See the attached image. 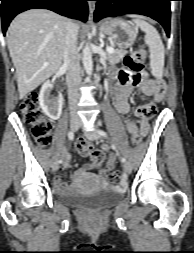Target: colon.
<instances>
[{
  "mask_svg": "<svg viewBox=\"0 0 194 253\" xmlns=\"http://www.w3.org/2000/svg\"><path fill=\"white\" fill-rule=\"evenodd\" d=\"M146 57V50L140 48L124 59L125 69L139 75L143 73L144 60ZM21 113L24 122L30 126L32 135L38 145L45 147L50 142L52 123L44 116L38 103V95L35 92L27 94L20 105ZM155 108L152 105H146L140 109L141 114L154 113ZM141 136L138 133L131 135V142L133 145L139 144ZM77 151L81 155H90L91 163L98 168L102 165L104 157L101 151L93 148V145L85 140H80L77 145ZM108 178L112 183H121L123 175L119 170L112 171L108 174Z\"/></svg>",
  "mask_w": 194,
  "mask_h": 253,
  "instance_id": "obj_1",
  "label": "colon"
}]
</instances>
